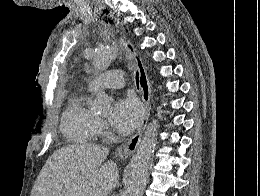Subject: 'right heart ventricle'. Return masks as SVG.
I'll use <instances>...</instances> for the list:
<instances>
[{
    "instance_id": "1",
    "label": "right heart ventricle",
    "mask_w": 260,
    "mask_h": 196,
    "mask_svg": "<svg viewBox=\"0 0 260 196\" xmlns=\"http://www.w3.org/2000/svg\"><path fill=\"white\" fill-rule=\"evenodd\" d=\"M95 91L91 84L76 86L71 91V99L63 113L64 133L73 138L76 131L97 129L98 118L89 108V97ZM78 143H94L93 137L84 135L75 139ZM50 192H57L50 190Z\"/></svg>"
}]
</instances>
